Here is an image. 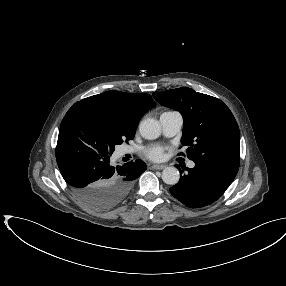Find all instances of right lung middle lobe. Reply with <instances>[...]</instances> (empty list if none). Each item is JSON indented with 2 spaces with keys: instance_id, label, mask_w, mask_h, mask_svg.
<instances>
[{
  "instance_id": "obj_1",
  "label": "right lung middle lobe",
  "mask_w": 286,
  "mask_h": 286,
  "mask_svg": "<svg viewBox=\"0 0 286 286\" xmlns=\"http://www.w3.org/2000/svg\"><path fill=\"white\" fill-rule=\"evenodd\" d=\"M62 123L70 125L109 154L114 152L116 145L132 140L135 135L122 129L117 118L109 112L77 103L69 109Z\"/></svg>"
}]
</instances>
